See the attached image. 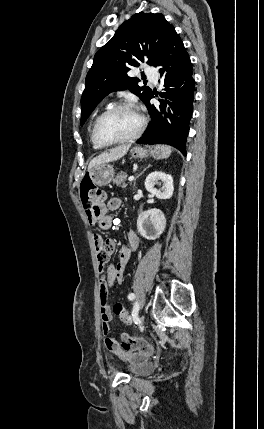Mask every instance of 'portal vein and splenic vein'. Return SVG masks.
Listing matches in <instances>:
<instances>
[{
  "instance_id": "1",
  "label": "portal vein and splenic vein",
  "mask_w": 264,
  "mask_h": 429,
  "mask_svg": "<svg viewBox=\"0 0 264 429\" xmlns=\"http://www.w3.org/2000/svg\"><path fill=\"white\" fill-rule=\"evenodd\" d=\"M133 180H134V176L132 175L129 177V181H133Z\"/></svg>"
}]
</instances>
